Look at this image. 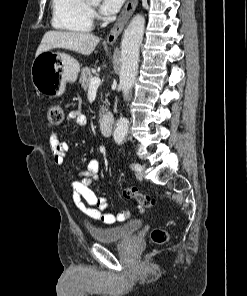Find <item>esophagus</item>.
Here are the masks:
<instances>
[{"label":"esophagus","mask_w":247,"mask_h":296,"mask_svg":"<svg viewBox=\"0 0 247 296\" xmlns=\"http://www.w3.org/2000/svg\"><path fill=\"white\" fill-rule=\"evenodd\" d=\"M137 4H138V0H127L116 23L114 24L109 34L107 35L106 41L108 44H113L117 40V38L123 31L125 25L127 24L129 18L133 14Z\"/></svg>","instance_id":"obj_1"}]
</instances>
